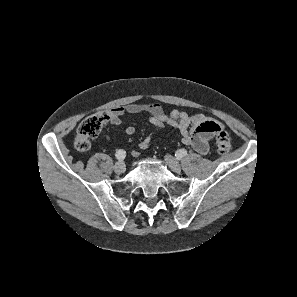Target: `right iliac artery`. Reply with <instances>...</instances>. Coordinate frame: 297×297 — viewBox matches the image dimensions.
I'll list each match as a JSON object with an SVG mask.
<instances>
[{
	"label": "right iliac artery",
	"instance_id": "82829eb1",
	"mask_svg": "<svg viewBox=\"0 0 297 297\" xmlns=\"http://www.w3.org/2000/svg\"><path fill=\"white\" fill-rule=\"evenodd\" d=\"M115 157L118 159V160H123L125 157H126V152L124 150H118L115 154Z\"/></svg>",
	"mask_w": 297,
	"mask_h": 297
}]
</instances>
